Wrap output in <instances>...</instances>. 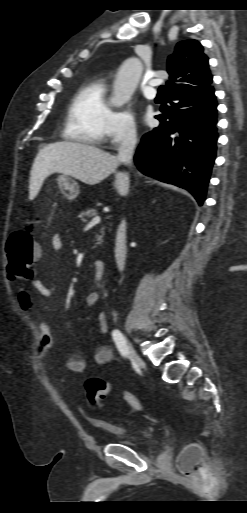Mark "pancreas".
I'll return each instance as SVG.
<instances>
[{"instance_id": "cf45deb5", "label": "pancreas", "mask_w": 247, "mask_h": 513, "mask_svg": "<svg viewBox=\"0 0 247 513\" xmlns=\"http://www.w3.org/2000/svg\"><path fill=\"white\" fill-rule=\"evenodd\" d=\"M96 215H97V211L95 209H86L85 211H83L79 214L78 218L80 219V221L86 223V222H88L89 218L96 216ZM100 233L102 236L104 235V228L101 229ZM102 236H99L98 239H101Z\"/></svg>"}]
</instances>
